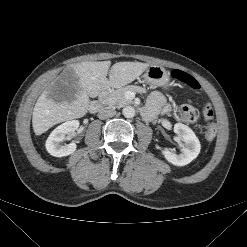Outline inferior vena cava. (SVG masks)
I'll return each instance as SVG.
<instances>
[{
  "label": "inferior vena cava",
  "mask_w": 247,
  "mask_h": 247,
  "mask_svg": "<svg viewBox=\"0 0 247 247\" xmlns=\"http://www.w3.org/2000/svg\"><path fill=\"white\" fill-rule=\"evenodd\" d=\"M116 114L115 109L113 108H103L99 111L98 113V117L100 119H106V118H110L113 117Z\"/></svg>",
  "instance_id": "1"
}]
</instances>
